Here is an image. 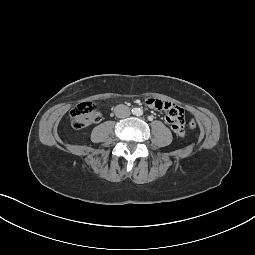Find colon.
Instances as JSON below:
<instances>
[{"label": "colon", "mask_w": 255, "mask_h": 255, "mask_svg": "<svg viewBox=\"0 0 255 255\" xmlns=\"http://www.w3.org/2000/svg\"><path fill=\"white\" fill-rule=\"evenodd\" d=\"M101 119V111L92 102H84L77 105L70 114L71 126L75 129H81L92 123H97L101 121ZM187 126L190 128V130H195L196 123L194 120H190L187 123Z\"/></svg>", "instance_id": "colon-1"}]
</instances>
